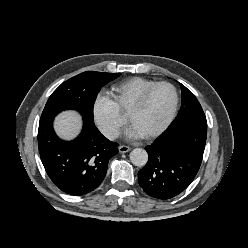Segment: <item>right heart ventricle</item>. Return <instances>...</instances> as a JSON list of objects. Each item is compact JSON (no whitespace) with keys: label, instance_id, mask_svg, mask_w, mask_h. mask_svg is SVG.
I'll list each match as a JSON object with an SVG mask.
<instances>
[{"label":"right heart ventricle","instance_id":"e07e8e85","mask_svg":"<svg viewBox=\"0 0 248 248\" xmlns=\"http://www.w3.org/2000/svg\"><path fill=\"white\" fill-rule=\"evenodd\" d=\"M155 81L143 77H132L118 82L109 88V95L122 114H127L129 108L139 95Z\"/></svg>","mask_w":248,"mask_h":248}]
</instances>
